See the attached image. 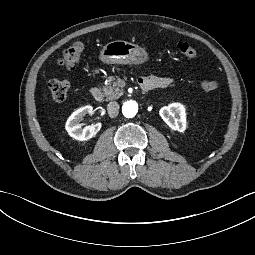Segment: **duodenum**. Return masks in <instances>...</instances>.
Wrapping results in <instances>:
<instances>
[{"mask_svg": "<svg viewBox=\"0 0 255 255\" xmlns=\"http://www.w3.org/2000/svg\"><path fill=\"white\" fill-rule=\"evenodd\" d=\"M139 86L143 91H149L153 87V84L147 79H140ZM90 94L96 101H101L103 98V93L100 87H92L90 89Z\"/></svg>", "mask_w": 255, "mask_h": 255, "instance_id": "1", "label": "duodenum"}]
</instances>
